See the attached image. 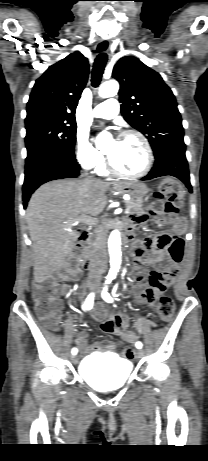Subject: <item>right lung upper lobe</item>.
<instances>
[{
    "instance_id": "right-lung-upper-lobe-1",
    "label": "right lung upper lobe",
    "mask_w": 208,
    "mask_h": 461,
    "mask_svg": "<svg viewBox=\"0 0 208 461\" xmlns=\"http://www.w3.org/2000/svg\"><path fill=\"white\" fill-rule=\"evenodd\" d=\"M88 72V59L80 52L71 53L50 66L35 82L27 103V116L75 120Z\"/></svg>"
}]
</instances>
